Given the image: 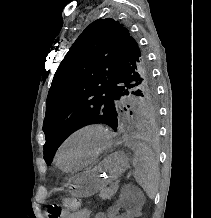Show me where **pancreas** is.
Listing matches in <instances>:
<instances>
[{
    "instance_id": "pancreas-1",
    "label": "pancreas",
    "mask_w": 211,
    "mask_h": 218,
    "mask_svg": "<svg viewBox=\"0 0 211 218\" xmlns=\"http://www.w3.org/2000/svg\"><path fill=\"white\" fill-rule=\"evenodd\" d=\"M117 184L118 182H113L110 188H106V190H102L101 194H99L100 198H102V200H111V196H114V194H116L119 188Z\"/></svg>"
}]
</instances>
